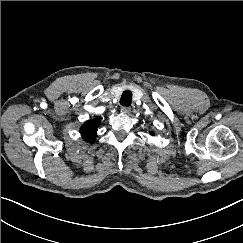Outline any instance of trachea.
Masks as SVG:
<instances>
[{"instance_id":"trachea-1","label":"trachea","mask_w":243,"mask_h":243,"mask_svg":"<svg viewBox=\"0 0 243 243\" xmlns=\"http://www.w3.org/2000/svg\"><path fill=\"white\" fill-rule=\"evenodd\" d=\"M131 102H132V92L128 90L124 91L120 99V104L122 106L128 107L131 105Z\"/></svg>"}]
</instances>
